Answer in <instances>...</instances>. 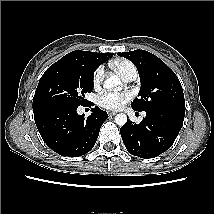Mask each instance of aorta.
Segmentation results:
<instances>
[{
    "label": "aorta",
    "mask_w": 214,
    "mask_h": 214,
    "mask_svg": "<svg viewBox=\"0 0 214 214\" xmlns=\"http://www.w3.org/2000/svg\"><path fill=\"white\" fill-rule=\"evenodd\" d=\"M121 84L120 79L116 75L108 77L104 82V88L111 89ZM115 122L119 126H123L127 122V116L124 113L117 114L115 116Z\"/></svg>",
    "instance_id": "762f6f07"
}]
</instances>
